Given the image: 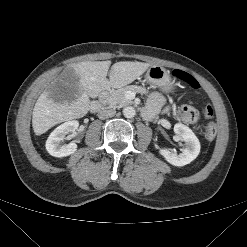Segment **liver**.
Returning <instances> with one entry per match:
<instances>
[{"label": "liver", "instance_id": "6515ba94", "mask_svg": "<svg viewBox=\"0 0 247 247\" xmlns=\"http://www.w3.org/2000/svg\"><path fill=\"white\" fill-rule=\"evenodd\" d=\"M85 61L71 64L61 77L69 81L65 92L45 90L37 99L33 114L32 127L36 135H41L53 126L85 116L89 110L90 99L103 90L121 88L135 81L150 66L149 63L120 61ZM53 86V85H52Z\"/></svg>", "mask_w": 247, "mask_h": 247}]
</instances>
